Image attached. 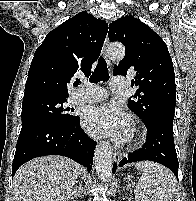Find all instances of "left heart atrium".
<instances>
[{"mask_svg": "<svg viewBox=\"0 0 196 201\" xmlns=\"http://www.w3.org/2000/svg\"><path fill=\"white\" fill-rule=\"evenodd\" d=\"M82 121L93 136H110L118 142L127 141L133 131L132 118L115 104L88 107Z\"/></svg>", "mask_w": 196, "mask_h": 201, "instance_id": "39dd6f15", "label": "left heart atrium"}]
</instances>
